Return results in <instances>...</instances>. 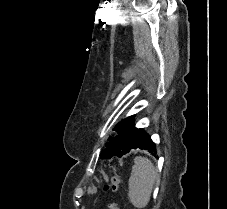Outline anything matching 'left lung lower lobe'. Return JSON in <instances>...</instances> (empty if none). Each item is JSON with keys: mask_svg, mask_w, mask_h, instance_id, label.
<instances>
[{"mask_svg": "<svg viewBox=\"0 0 227 209\" xmlns=\"http://www.w3.org/2000/svg\"><path fill=\"white\" fill-rule=\"evenodd\" d=\"M137 148L147 150L152 154L156 153L155 144L151 140L150 136L143 129H138L136 137L130 149L126 153H128L131 149H137Z\"/></svg>", "mask_w": 227, "mask_h": 209, "instance_id": "0a47b994", "label": "left lung lower lobe"}]
</instances>
